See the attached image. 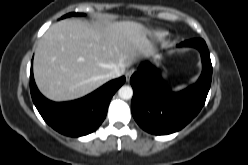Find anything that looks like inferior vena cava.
Returning <instances> with one entry per match:
<instances>
[{"mask_svg": "<svg viewBox=\"0 0 248 165\" xmlns=\"http://www.w3.org/2000/svg\"><path fill=\"white\" fill-rule=\"evenodd\" d=\"M125 69H119V68H116L112 71H110L107 75L108 79H114V78H117L119 76H121L123 73H124Z\"/></svg>", "mask_w": 248, "mask_h": 165, "instance_id": "1", "label": "inferior vena cava"}]
</instances>
